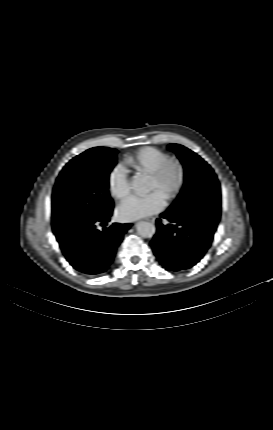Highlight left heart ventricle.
I'll return each instance as SVG.
<instances>
[{"label":"left heart ventricle","instance_id":"left-heart-ventricle-1","mask_svg":"<svg viewBox=\"0 0 273 430\" xmlns=\"http://www.w3.org/2000/svg\"><path fill=\"white\" fill-rule=\"evenodd\" d=\"M173 179H174V175L173 174H171L168 178H167V180H166V182H165V186H169L172 182H173ZM149 189L150 190H159L160 192H162L164 195H165V188L164 187H161L160 185H159V183L154 179V178H152L151 177V179H150V187H149Z\"/></svg>","mask_w":273,"mask_h":430}]
</instances>
